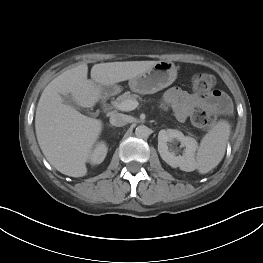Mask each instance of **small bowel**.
<instances>
[{
    "instance_id": "c3829d8e",
    "label": "small bowel",
    "mask_w": 263,
    "mask_h": 263,
    "mask_svg": "<svg viewBox=\"0 0 263 263\" xmlns=\"http://www.w3.org/2000/svg\"><path fill=\"white\" fill-rule=\"evenodd\" d=\"M164 102L172 108L180 121L186 120L197 108L227 110L229 107L228 99L220 91H214L213 94L202 97L179 87L168 89L164 94Z\"/></svg>"
}]
</instances>
